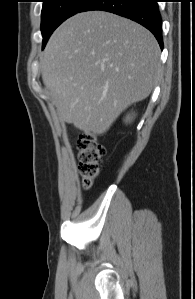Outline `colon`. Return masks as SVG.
I'll list each match as a JSON object with an SVG mask.
<instances>
[{
  "label": "colon",
  "instance_id": "1",
  "mask_svg": "<svg viewBox=\"0 0 195 299\" xmlns=\"http://www.w3.org/2000/svg\"><path fill=\"white\" fill-rule=\"evenodd\" d=\"M79 173L83 186L89 189L102 170L105 147L91 133L80 134L77 140Z\"/></svg>",
  "mask_w": 195,
  "mask_h": 299
}]
</instances>
